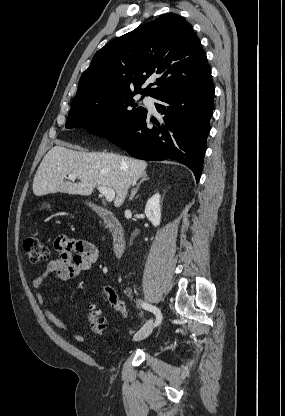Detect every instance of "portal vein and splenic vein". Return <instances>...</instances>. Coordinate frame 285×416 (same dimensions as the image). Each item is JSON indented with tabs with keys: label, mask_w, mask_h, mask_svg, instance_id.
<instances>
[{
	"label": "portal vein and splenic vein",
	"mask_w": 285,
	"mask_h": 416,
	"mask_svg": "<svg viewBox=\"0 0 285 416\" xmlns=\"http://www.w3.org/2000/svg\"><path fill=\"white\" fill-rule=\"evenodd\" d=\"M69 180H76L77 176L76 174H69L68 176ZM97 190H99L100 194H103L105 196L107 202H113L115 198V192L112 190V188H106V186H98Z\"/></svg>",
	"instance_id": "portal-vein-and-splenic-vein-1"
}]
</instances>
